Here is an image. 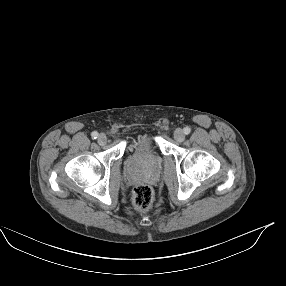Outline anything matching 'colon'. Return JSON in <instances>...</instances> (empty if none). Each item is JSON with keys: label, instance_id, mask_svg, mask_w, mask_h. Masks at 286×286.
<instances>
[{"label": "colon", "instance_id": "obj_1", "mask_svg": "<svg viewBox=\"0 0 286 286\" xmlns=\"http://www.w3.org/2000/svg\"><path fill=\"white\" fill-rule=\"evenodd\" d=\"M133 205L140 211L148 210L153 202V191L147 184H138L134 187L132 196Z\"/></svg>", "mask_w": 286, "mask_h": 286}]
</instances>
